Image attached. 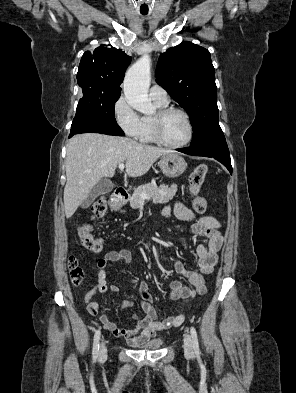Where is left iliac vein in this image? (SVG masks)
Returning a JSON list of instances; mask_svg holds the SVG:
<instances>
[{"mask_svg": "<svg viewBox=\"0 0 296 393\" xmlns=\"http://www.w3.org/2000/svg\"><path fill=\"white\" fill-rule=\"evenodd\" d=\"M184 351L185 354L188 356L193 355V344H192V338L189 334H186L184 336Z\"/></svg>", "mask_w": 296, "mask_h": 393, "instance_id": "4c4485c4", "label": "left iliac vein"}]
</instances>
